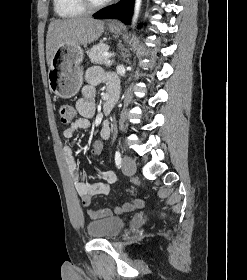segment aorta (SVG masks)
<instances>
[{
	"label": "aorta",
	"instance_id": "obj_1",
	"mask_svg": "<svg viewBox=\"0 0 247 280\" xmlns=\"http://www.w3.org/2000/svg\"><path fill=\"white\" fill-rule=\"evenodd\" d=\"M141 1L142 0H135V12H134V19L133 23L136 21V18L139 14L140 6H141Z\"/></svg>",
	"mask_w": 247,
	"mask_h": 280
}]
</instances>
